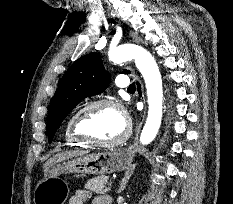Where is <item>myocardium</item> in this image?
I'll list each match as a JSON object with an SVG mask.
<instances>
[{"label": "myocardium", "mask_w": 233, "mask_h": 204, "mask_svg": "<svg viewBox=\"0 0 233 204\" xmlns=\"http://www.w3.org/2000/svg\"><path fill=\"white\" fill-rule=\"evenodd\" d=\"M102 106L112 107L116 109L122 115L125 121V130L122 133V135H120L118 138L111 140V141H96V140L86 137L79 131V123L82 117L91 109L96 108V107H102ZM71 132L76 139L80 140L86 145L110 148V147H115V146L122 144L129 138L131 134V121H130L127 111L125 110V108L123 107L121 103L113 99H106V98L98 99V100H93L91 102H88L73 115L72 120H71Z\"/></svg>", "instance_id": "f54148a6"}]
</instances>
